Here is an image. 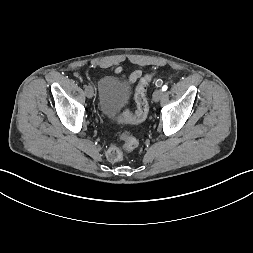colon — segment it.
<instances>
[{"mask_svg": "<svg viewBox=\"0 0 253 253\" xmlns=\"http://www.w3.org/2000/svg\"><path fill=\"white\" fill-rule=\"evenodd\" d=\"M150 81L151 75H146L141 79L135 90L136 110L133 113L128 110L124 111L120 117L121 121L130 124H140L146 119L148 113L146 88ZM122 138L126 141L127 149H133L137 145L135 138L128 133L123 134ZM106 157L110 162L121 161L123 158V148L117 145L110 146L106 151Z\"/></svg>", "mask_w": 253, "mask_h": 253, "instance_id": "1", "label": "colon"}]
</instances>
